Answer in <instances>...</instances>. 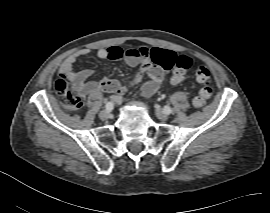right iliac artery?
<instances>
[{"label":"right iliac artery","instance_id":"right-iliac-artery-1","mask_svg":"<svg viewBox=\"0 0 270 213\" xmlns=\"http://www.w3.org/2000/svg\"><path fill=\"white\" fill-rule=\"evenodd\" d=\"M105 108L109 111H111L113 109V103L112 102H107L105 105Z\"/></svg>","mask_w":270,"mask_h":213}]
</instances>
